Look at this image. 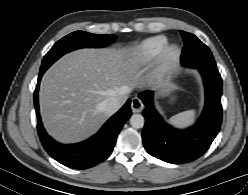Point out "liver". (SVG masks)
<instances>
[{
    "instance_id": "obj_1",
    "label": "liver",
    "mask_w": 248,
    "mask_h": 195,
    "mask_svg": "<svg viewBox=\"0 0 248 195\" xmlns=\"http://www.w3.org/2000/svg\"><path fill=\"white\" fill-rule=\"evenodd\" d=\"M143 61L133 47L80 49L66 54L44 74L40 110L48 133L62 143H75L93 135L107 120L100 102L110 96L126 101L130 91L145 83ZM164 88L166 81H153Z\"/></svg>"
}]
</instances>
